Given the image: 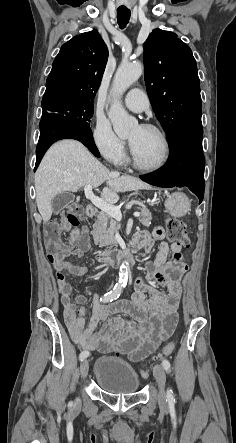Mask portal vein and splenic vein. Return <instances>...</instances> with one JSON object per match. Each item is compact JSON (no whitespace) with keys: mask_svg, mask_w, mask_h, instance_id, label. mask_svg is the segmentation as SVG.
<instances>
[{"mask_svg":"<svg viewBox=\"0 0 236 443\" xmlns=\"http://www.w3.org/2000/svg\"><path fill=\"white\" fill-rule=\"evenodd\" d=\"M84 191H85L86 198H88L94 206L99 208L102 212L107 213L109 216L116 219L117 221L122 220V213L120 211V208L113 206L111 204H108L107 202H105L101 198H98L97 196H95L92 191L91 185H86L84 188ZM134 216L140 217V213L135 212Z\"/></svg>","mask_w":236,"mask_h":443,"instance_id":"obj_1","label":"portal vein and splenic vein"}]
</instances>
